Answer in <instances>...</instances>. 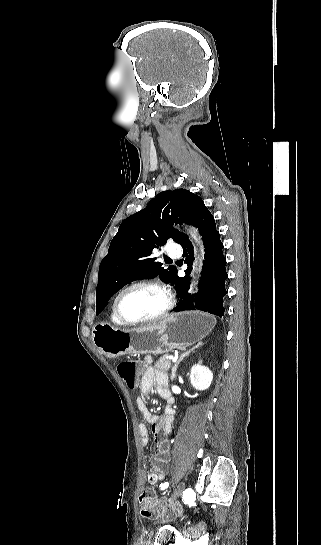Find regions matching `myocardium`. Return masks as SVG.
Here are the masks:
<instances>
[{"instance_id":"obj_1","label":"myocardium","mask_w":321,"mask_h":545,"mask_svg":"<svg viewBox=\"0 0 321 545\" xmlns=\"http://www.w3.org/2000/svg\"><path fill=\"white\" fill-rule=\"evenodd\" d=\"M136 288H149V289H153V290H157V291L161 292L166 298L165 308L159 314H157L155 316H152L150 318H147V319L134 321V322L127 320L123 316V314L121 313L120 301H121L122 296L126 292H128L130 290H133V289H136ZM174 305H175L174 296H173L172 292L170 291V289L167 286H165L164 284H162L160 282H156V281H139V282L132 283V284L124 287L123 289H121L119 291V293L117 294V296L115 298V301H114V310H115V314H116V317H117L118 321L123 326L139 327V326H144V325L151 324V323H154V322H158V321L164 319L172 311V309L174 308Z\"/></svg>"}]
</instances>
